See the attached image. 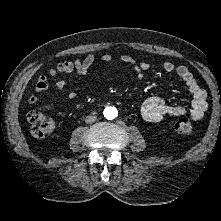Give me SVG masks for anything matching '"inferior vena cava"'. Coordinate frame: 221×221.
<instances>
[{
	"label": "inferior vena cava",
	"instance_id": "1",
	"mask_svg": "<svg viewBox=\"0 0 221 221\" xmlns=\"http://www.w3.org/2000/svg\"><path fill=\"white\" fill-rule=\"evenodd\" d=\"M96 119H97L96 116H94V115H89V116H87V117L85 118V122H86V123H93V122H95Z\"/></svg>",
	"mask_w": 221,
	"mask_h": 221
}]
</instances>
